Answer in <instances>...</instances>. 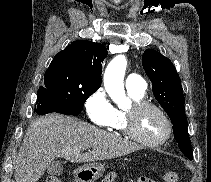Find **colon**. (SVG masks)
<instances>
[{"mask_svg":"<svg viewBox=\"0 0 211 182\" xmlns=\"http://www.w3.org/2000/svg\"><path fill=\"white\" fill-rule=\"evenodd\" d=\"M115 178H116V174L114 172H110L102 180V182H113ZM163 178L166 182H176L178 179V175L176 172L166 171L163 175ZM46 182H62V180L56 176H50L47 178Z\"/></svg>","mask_w":211,"mask_h":182,"instance_id":"obj_1","label":"colon"}]
</instances>
